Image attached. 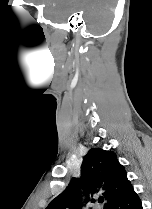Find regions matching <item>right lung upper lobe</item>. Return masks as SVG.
Instances as JSON below:
<instances>
[{
	"label": "right lung upper lobe",
	"mask_w": 152,
	"mask_h": 209,
	"mask_svg": "<svg viewBox=\"0 0 152 209\" xmlns=\"http://www.w3.org/2000/svg\"><path fill=\"white\" fill-rule=\"evenodd\" d=\"M131 186L124 166L113 151L92 148L83 158L80 180L72 178L68 187L46 209H81V187L87 196L85 202L89 201V195L92 197L101 190L106 199L105 209H109Z\"/></svg>",
	"instance_id": "cb5924a9"
}]
</instances>
